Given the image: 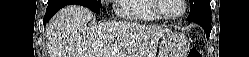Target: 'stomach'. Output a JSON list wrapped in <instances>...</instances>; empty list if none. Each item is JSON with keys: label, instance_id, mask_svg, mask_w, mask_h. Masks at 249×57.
<instances>
[{"label": "stomach", "instance_id": "1", "mask_svg": "<svg viewBox=\"0 0 249 57\" xmlns=\"http://www.w3.org/2000/svg\"><path fill=\"white\" fill-rule=\"evenodd\" d=\"M160 46L158 57H186L188 41L184 35L174 33L164 36Z\"/></svg>", "mask_w": 249, "mask_h": 57}]
</instances>
